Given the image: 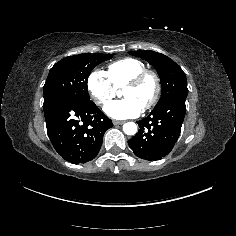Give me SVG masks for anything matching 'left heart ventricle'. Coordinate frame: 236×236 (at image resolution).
I'll return each mask as SVG.
<instances>
[{"instance_id": "obj_1", "label": "left heart ventricle", "mask_w": 236, "mask_h": 236, "mask_svg": "<svg viewBox=\"0 0 236 236\" xmlns=\"http://www.w3.org/2000/svg\"><path fill=\"white\" fill-rule=\"evenodd\" d=\"M153 93V83L147 78L139 85L125 88L122 90V95L125 98H130L140 104L142 107L146 105Z\"/></svg>"}]
</instances>
